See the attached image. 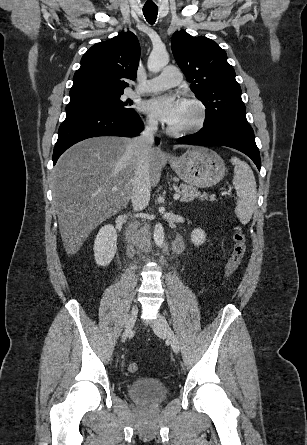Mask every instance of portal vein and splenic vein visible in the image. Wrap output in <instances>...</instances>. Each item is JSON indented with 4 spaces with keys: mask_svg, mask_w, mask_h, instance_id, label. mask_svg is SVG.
<instances>
[{
    "mask_svg": "<svg viewBox=\"0 0 307 445\" xmlns=\"http://www.w3.org/2000/svg\"><path fill=\"white\" fill-rule=\"evenodd\" d=\"M112 190H117V188H112ZM173 198H175V200H177V198H180L179 192H176V194H174Z\"/></svg>",
    "mask_w": 307,
    "mask_h": 445,
    "instance_id": "18ae733b",
    "label": "portal vein and splenic vein"
}]
</instances>
